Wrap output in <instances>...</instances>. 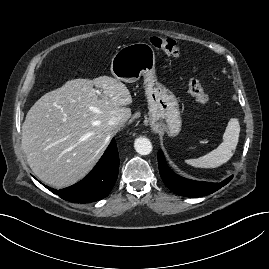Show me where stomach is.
I'll return each mask as SVG.
<instances>
[{
	"label": "stomach",
	"instance_id": "obj_1",
	"mask_svg": "<svg viewBox=\"0 0 269 269\" xmlns=\"http://www.w3.org/2000/svg\"><path fill=\"white\" fill-rule=\"evenodd\" d=\"M155 60L154 49L148 43L125 45L113 56L111 72L126 83L144 78L151 127L174 137L182 126L179 105L175 95L157 81Z\"/></svg>",
	"mask_w": 269,
	"mask_h": 269
}]
</instances>
